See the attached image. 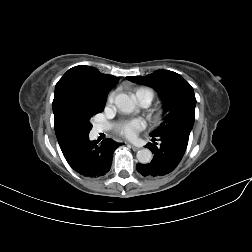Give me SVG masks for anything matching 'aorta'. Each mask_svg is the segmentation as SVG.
Listing matches in <instances>:
<instances>
[{
	"label": "aorta",
	"instance_id": "aorta-1",
	"mask_svg": "<svg viewBox=\"0 0 252 252\" xmlns=\"http://www.w3.org/2000/svg\"><path fill=\"white\" fill-rule=\"evenodd\" d=\"M116 107L123 113H132L135 110V103L126 94H119L114 101ZM137 159L142 164L150 163L152 160V152L143 148L137 152Z\"/></svg>",
	"mask_w": 252,
	"mask_h": 252
}]
</instances>
